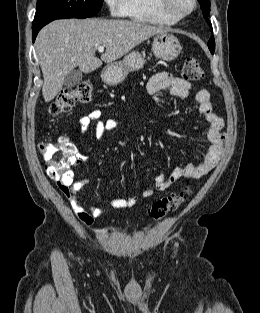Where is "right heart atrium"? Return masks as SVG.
<instances>
[{"mask_svg": "<svg viewBox=\"0 0 260 313\" xmlns=\"http://www.w3.org/2000/svg\"><path fill=\"white\" fill-rule=\"evenodd\" d=\"M104 2L112 16L126 15V0H104Z\"/></svg>", "mask_w": 260, "mask_h": 313, "instance_id": "1", "label": "right heart atrium"}]
</instances>
